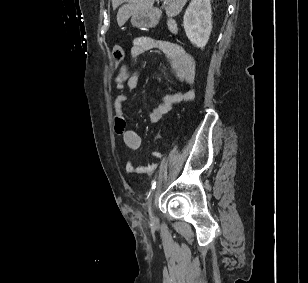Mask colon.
<instances>
[{
  "instance_id": "1",
  "label": "colon",
  "mask_w": 308,
  "mask_h": 283,
  "mask_svg": "<svg viewBox=\"0 0 308 283\" xmlns=\"http://www.w3.org/2000/svg\"><path fill=\"white\" fill-rule=\"evenodd\" d=\"M113 58L115 62L120 63L124 58V49L121 45H116L113 48Z\"/></svg>"
}]
</instances>
